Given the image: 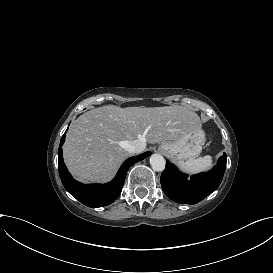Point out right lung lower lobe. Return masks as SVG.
I'll use <instances>...</instances> for the list:
<instances>
[{
	"label": "right lung lower lobe",
	"mask_w": 273,
	"mask_h": 273,
	"mask_svg": "<svg viewBox=\"0 0 273 273\" xmlns=\"http://www.w3.org/2000/svg\"><path fill=\"white\" fill-rule=\"evenodd\" d=\"M65 134L61 138L59 145L58 169L59 175L65 189L77 200L88 207H102L111 204L121 193L124 179L128 169L138 161L151 155V152H145L138 156L127 159L121 166L117 176L113 181L107 184L84 185L75 181L68 172L62 158L63 150L61 146L65 141Z\"/></svg>",
	"instance_id": "98d812e1"
}]
</instances>
